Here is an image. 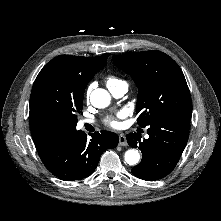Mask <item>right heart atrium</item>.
I'll use <instances>...</instances> for the list:
<instances>
[{"label": "right heart atrium", "instance_id": "obj_1", "mask_svg": "<svg viewBox=\"0 0 221 221\" xmlns=\"http://www.w3.org/2000/svg\"><path fill=\"white\" fill-rule=\"evenodd\" d=\"M92 87H93V85H90V86L88 87L87 91H86V96H87V98H88L89 95H90V92H91Z\"/></svg>", "mask_w": 221, "mask_h": 221}]
</instances>
